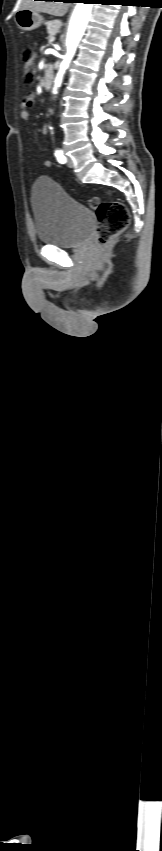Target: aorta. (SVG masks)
Instances as JSON below:
<instances>
[{"instance_id":"1","label":"aorta","mask_w":162,"mask_h":851,"mask_svg":"<svg viewBox=\"0 0 162 851\" xmlns=\"http://www.w3.org/2000/svg\"><path fill=\"white\" fill-rule=\"evenodd\" d=\"M92 6V3H77L73 11L66 38L67 53L60 64L59 70L54 81V94L57 93V89L61 86L63 76L85 32L86 26L91 16Z\"/></svg>"}]
</instances>
